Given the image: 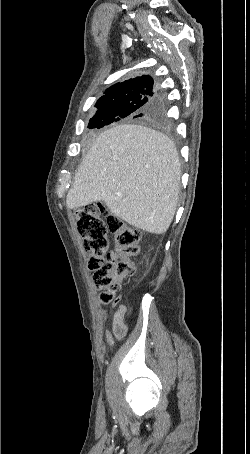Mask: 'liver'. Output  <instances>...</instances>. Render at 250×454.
<instances>
[{
  "instance_id": "1",
  "label": "liver",
  "mask_w": 250,
  "mask_h": 454,
  "mask_svg": "<svg viewBox=\"0 0 250 454\" xmlns=\"http://www.w3.org/2000/svg\"><path fill=\"white\" fill-rule=\"evenodd\" d=\"M180 181L178 152L165 134L122 124L93 142L75 174L66 204L74 209L104 202L130 225L163 234L176 212Z\"/></svg>"
}]
</instances>
